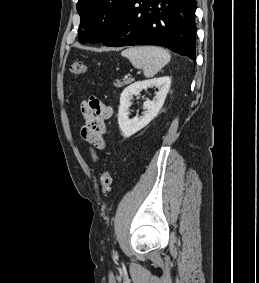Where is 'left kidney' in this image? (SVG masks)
<instances>
[{"mask_svg": "<svg viewBox=\"0 0 259 283\" xmlns=\"http://www.w3.org/2000/svg\"><path fill=\"white\" fill-rule=\"evenodd\" d=\"M170 85V77L165 76L151 80L137 81L124 89L120 96V106L118 110V124L123 137L129 138L134 135L157 116L164 104ZM152 87H156L158 92L152 101H145V111L143 115L130 119L129 107L132 104L131 100L133 99V95H139L142 90Z\"/></svg>", "mask_w": 259, "mask_h": 283, "instance_id": "1", "label": "left kidney"}]
</instances>
